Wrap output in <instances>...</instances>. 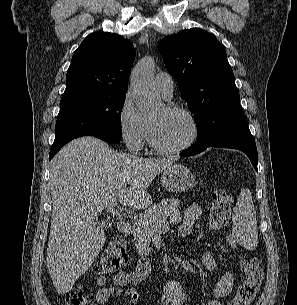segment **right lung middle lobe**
I'll return each mask as SVG.
<instances>
[{"mask_svg":"<svg viewBox=\"0 0 297 305\" xmlns=\"http://www.w3.org/2000/svg\"><path fill=\"white\" fill-rule=\"evenodd\" d=\"M125 94L85 95L61 100L52 148L88 135L122 137L121 110Z\"/></svg>","mask_w":297,"mask_h":305,"instance_id":"1","label":"right lung middle lobe"}]
</instances>
